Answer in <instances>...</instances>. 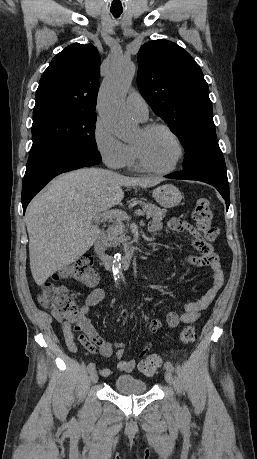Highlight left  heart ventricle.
<instances>
[{
    "label": "left heart ventricle",
    "instance_id": "obj_1",
    "mask_svg": "<svg viewBox=\"0 0 257 459\" xmlns=\"http://www.w3.org/2000/svg\"><path fill=\"white\" fill-rule=\"evenodd\" d=\"M133 143L141 147L147 161L156 168L171 166L178 155L175 141L164 130L159 129L146 134L141 129Z\"/></svg>",
    "mask_w": 257,
    "mask_h": 459
}]
</instances>
